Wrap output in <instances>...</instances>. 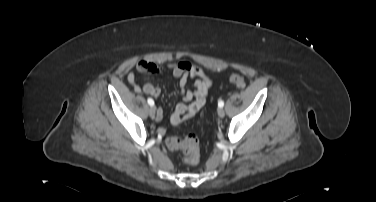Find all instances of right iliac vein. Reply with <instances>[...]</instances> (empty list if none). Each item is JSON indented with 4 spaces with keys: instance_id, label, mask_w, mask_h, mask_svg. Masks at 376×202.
Returning <instances> with one entry per match:
<instances>
[{
    "instance_id": "right-iliac-vein-1",
    "label": "right iliac vein",
    "mask_w": 376,
    "mask_h": 202,
    "mask_svg": "<svg viewBox=\"0 0 376 202\" xmlns=\"http://www.w3.org/2000/svg\"><path fill=\"white\" fill-rule=\"evenodd\" d=\"M155 112H156L155 107L151 106V107L149 108V115H150V117L154 118V116H155Z\"/></svg>"
}]
</instances>
